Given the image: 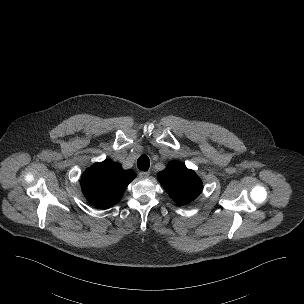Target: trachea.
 Instances as JSON below:
<instances>
[{
    "mask_svg": "<svg viewBox=\"0 0 304 304\" xmlns=\"http://www.w3.org/2000/svg\"><path fill=\"white\" fill-rule=\"evenodd\" d=\"M137 167L141 171H147L150 167V160H149L148 156L141 155L137 160Z\"/></svg>",
    "mask_w": 304,
    "mask_h": 304,
    "instance_id": "3493384b",
    "label": "trachea"
}]
</instances>
